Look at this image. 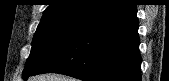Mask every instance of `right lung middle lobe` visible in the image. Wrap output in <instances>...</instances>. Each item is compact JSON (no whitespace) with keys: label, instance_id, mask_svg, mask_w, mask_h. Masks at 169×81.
<instances>
[{"label":"right lung middle lobe","instance_id":"dd1d6c3e","mask_svg":"<svg viewBox=\"0 0 169 81\" xmlns=\"http://www.w3.org/2000/svg\"><path fill=\"white\" fill-rule=\"evenodd\" d=\"M88 20L76 16H60L41 19L32 41L23 77L35 71L67 39Z\"/></svg>","mask_w":169,"mask_h":81}]
</instances>
